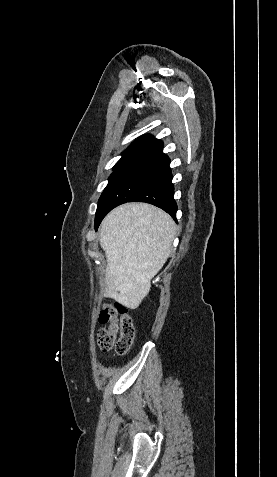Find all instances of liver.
Masks as SVG:
<instances>
[{
    "instance_id": "liver-1",
    "label": "liver",
    "mask_w": 277,
    "mask_h": 477,
    "mask_svg": "<svg viewBox=\"0 0 277 477\" xmlns=\"http://www.w3.org/2000/svg\"><path fill=\"white\" fill-rule=\"evenodd\" d=\"M175 234L171 216L153 205L127 203L112 210L99 229L107 259L104 296L136 309L168 259Z\"/></svg>"
}]
</instances>
